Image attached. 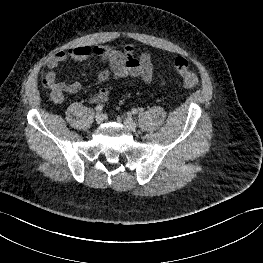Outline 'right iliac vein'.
Returning <instances> with one entry per match:
<instances>
[{
    "label": "right iliac vein",
    "instance_id": "obj_1",
    "mask_svg": "<svg viewBox=\"0 0 263 263\" xmlns=\"http://www.w3.org/2000/svg\"><path fill=\"white\" fill-rule=\"evenodd\" d=\"M104 120V115L102 112H97L96 115H95V121L96 123L100 124L102 123Z\"/></svg>",
    "mask_w": 263,
    "mask_h": 263
}]
</instances>
